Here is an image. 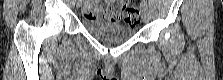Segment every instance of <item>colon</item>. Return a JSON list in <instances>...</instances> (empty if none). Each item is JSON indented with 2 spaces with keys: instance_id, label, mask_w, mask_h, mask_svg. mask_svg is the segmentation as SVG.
I'll return each mask as SVG.
<instances>
[{
  "instance_id": "obj_1",
  "label": "colon",
  "mask_w": 223,
  "mask_h": 80,
  "mask_svg": "<svg viewBox=\"0 0 223 80\" xmlns=\"http://www.w3.org/2000/svg\"><path fill=\"white\" fill-rule=\"evenodd\" d=\"M114 12L130 26L137 25L141 20L140 12L129 1L116 2Z\"/></svg>"
}]
</instances>
